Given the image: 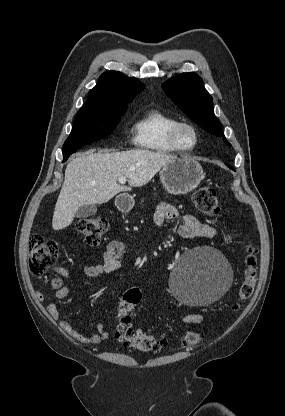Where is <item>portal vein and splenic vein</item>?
Listing matches in <instances>:
<instances>
[{
    "label": "portal vein and splenic vein",
    "mask_w": 285,
    "mask_h": 416,
    "mask_svg": "<svg viewBox=\"0 0 285 416\" xmlns=\"http://www.w3.org/2000/svg\"><path fill=\"white\" fill-rule=\"evenodd\" d=\"M118 182L119 184H126L125 176H120V178H118ZM128 190H130V188H128Z\"/></svg>",
    "instance_id": "1"
}]
</instances>
